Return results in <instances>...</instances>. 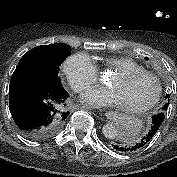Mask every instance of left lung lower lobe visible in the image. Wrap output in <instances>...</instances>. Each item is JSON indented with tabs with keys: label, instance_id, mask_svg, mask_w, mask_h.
I'll list each match as a JSON object with an SVG mask.
<instances>
[{
	"label": "left lung lower lobe",
	"instance_id": "0a47b994",
	"mask_svg": "<svg viewBox=\"0 0 177 177\" xmlns=\"http://www.w3.org/2000/svg\"><path fill=\"white\" fill-rule=\"evenodd\" d=\"M164 118H165V115L162 112L157 115L152 116V124H151V128L148 134L144 136L138 143L131 144V145H123V144L114 142L112 147L119 152H133V151L143 148L146 144L150 142V140L157 133Z\"/></svg>",
	"mask_w": 177,
	"mask_h": 177
}]
</instances>
